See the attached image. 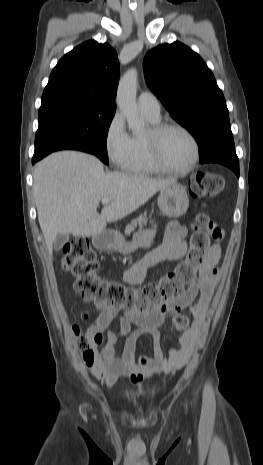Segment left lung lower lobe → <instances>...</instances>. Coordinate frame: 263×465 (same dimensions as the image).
I'll return each instance as SVG.
<instances>
[{
    "label": "left lung lower lobe",
    "mask_w": 263,
    "mask_h": 465,
    "mask_svg": "<svg viewBox=\"0 0 263 465\" xmlns=\"http://www.w3.org/2000/svg\"><path fill=\"white\" fill-rule=\"evenodd\" d=\"M216 162L229 167L239 177V160L235 150L217 152L209 157L204 158L201 163Z\"/></svg>",
    "instance_id": "0a47b994"
}]
</instances>
